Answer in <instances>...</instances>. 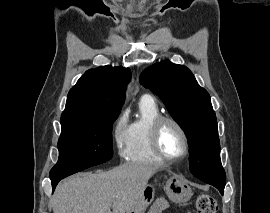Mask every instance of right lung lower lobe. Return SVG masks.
<instances>
[{"instance_id":"obj_1","label":"right lung lower lobe","mask_w":270,"mask_h":213,"mask_svg":"<svg viewBox=\"0 0 270 213\" xmlns=\"http://www.w3.org/2000/svg\"><path fill=\"white\" fill-rule=\"evenodd\" d=\"M73 174H74V173H73ZM69 175H71V174H69ZM69 175H64V176H59V177L50 178V179H51V184H52V189H53V191H54L56 185L58 184V182H59L61 179L65 178V177H67V176H69Z\"/></svg>"}]
</instances>
